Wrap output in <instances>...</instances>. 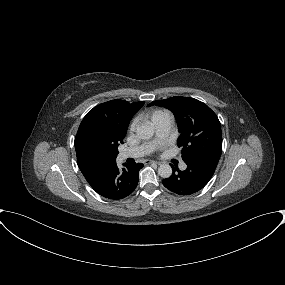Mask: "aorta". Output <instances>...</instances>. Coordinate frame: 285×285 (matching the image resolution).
Listing matches in <instances>:
<instances>
[{"instance_id": "762f6f07", "label": "aorta", "mask_w": 285, "mask_h": 285, "mask_svg": "<svg viewBox=\"0 0 285 285\" xmlns=\"http://www.w3.org/2000/svg\"><path fill=\"white\" fill-rule=\"evenodd\" d=\"M137 136L142 140H148L154 135V128L151 125L142 124L137 127ZM158 174L162 178H169L172 175V168L169 164H161L158 168Z\"/></svg>"}]
</instances>
